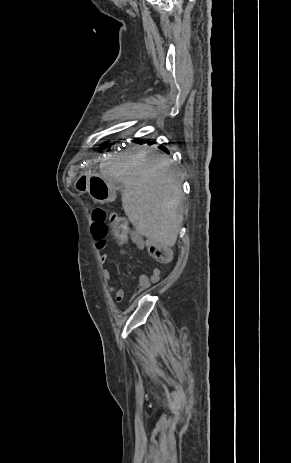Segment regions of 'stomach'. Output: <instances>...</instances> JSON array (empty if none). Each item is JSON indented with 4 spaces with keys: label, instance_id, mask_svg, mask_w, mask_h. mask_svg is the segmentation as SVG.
Listing matches in <instances>:
<instances>
[{
    "label": "stomach",
    "instance_id": "0dacf381",
    "mask_svg": "<svg viewBox=\"0 0 291 463\" xmlns=\"http://www.w3.org/2000/svg\"><path fill=\"white\" fill-rule=\"evenodd\" d=\"M75 188L81 192L87 191L97 202L105 203L115 199V191L112 184L98 174L81 177L75 182Z\"/></svg>",
    "mask_w": 291,
    "mask_h": 463
}]
</instances>
